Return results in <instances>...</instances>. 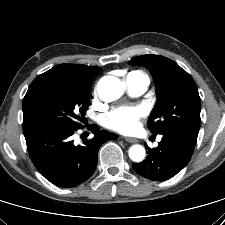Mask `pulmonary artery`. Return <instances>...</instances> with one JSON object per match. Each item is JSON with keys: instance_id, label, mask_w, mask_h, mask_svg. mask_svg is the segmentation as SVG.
I'll use <instances>...</instances> for the list:
<instances>
[{"instance_id": "e3ab8cb5", "label": "pulmonary artery", "mask_w": 225, "mask_h": 225, "mask_svg": "<svg viewBox=\"0 0 225 225\" xmlns=\"http://www.w3.org/2000/svg\"><path fill=\"white\" fill-rule=\"evenodd\" d=\"M125 83L129 94L133 96L143 94L149 86L148 78L140 72H132L128 74L125 79Z\"/></svg>"}]
</instances>
